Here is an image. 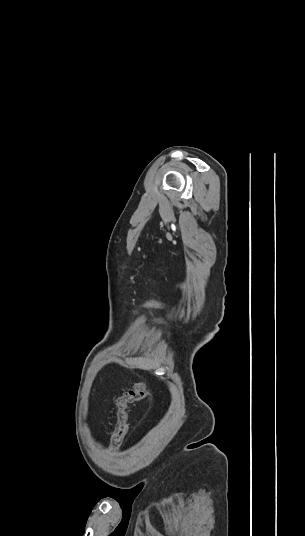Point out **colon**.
<instances>
[{"label": "colon", "instance_id": "1", "mask_svg": "<svg viewBox=\"0 0 305 536\" xmlns=\"http://www.w3.org/2000/svg\"><path fill=\"white\" fill-rule=\"evenodd\" d=\"M147 389L143 381L133 382L130 389L114 399L116 408V424L111 439V444L116 446L123 440L128 422L127 407L143 401L146 398Z\"/></svg>", "mask_w": 305, "mask_h": 536}]
</instances>
